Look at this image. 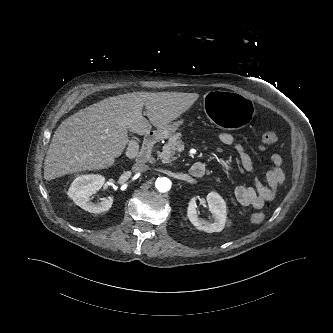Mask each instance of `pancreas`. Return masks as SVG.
Listing matches in <instances>:
<instances>
[{"mask_svg": "<svg viewBox=\"0 0 333 333\" xmlns=\"http://www.w3.org/2000/svg\"><path fill=\"white\" fill-rule=\"evenodd\" d=\"M181 138V133H176L170 136L167 144L163 146V151L159 154V157L163 163H169L175 159V151L182 144Z\"/></svg>", "mask_w": 333, "mask_h": 333, "instance_id": "pancreas-1", "label": "pancreas"}]
</instances>
